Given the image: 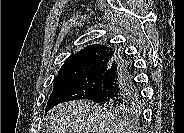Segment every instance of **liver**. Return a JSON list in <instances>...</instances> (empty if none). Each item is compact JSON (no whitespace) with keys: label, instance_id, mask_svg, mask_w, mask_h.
<instances>
[{"label":"liver","instance_id":"liver-1","mask_svg":"<svg viewBox=\"0 0 184 133\" xmlns=\"http://www.w3.org/2000/svg\"><path fill=\"white\" fill-rule=\"evenodd\" d=\"M46 133H121L124 125L89 100L59 104L45 117ZM129 130V129H127Z\"/></svg>","mask_w":184,"mask_h":133}]
</instances>
